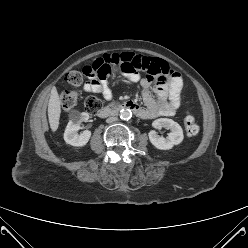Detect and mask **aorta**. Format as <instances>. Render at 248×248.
Here are the masks:
<instances>
[{"label": "aorta", "mask_w": 248, "mask_h": 248, "mask_svg": "<svg viewBox=\"0 0 248 248\" xmlns=\"http://www.w3.org/2000/svg\"><path fill=\"white\" fill-rule=\"evenodd\" d=\"M119 115L122 120H129L132 117V112L130 109H121Z\"/></svg>", "instance_id": "aorta-1"}]
</instances>
